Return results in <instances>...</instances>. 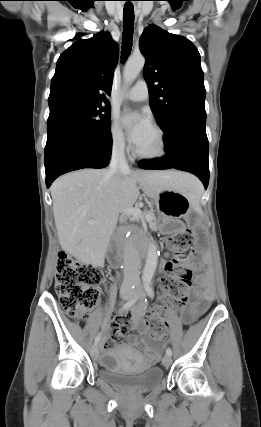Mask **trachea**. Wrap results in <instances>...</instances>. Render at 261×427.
Listing matches in <instances>:
<instances>
[{
  "mask_svg": "<svg viewBox=\"0 0 261 427\" xmlns=\"http://www.w3.org/2000/svg\"><path fill=\"white\" fill-rule=\"evenodd\" d=\"M134 30V8L132 4L124 5L123 14V38H122V52L121 59L124 63L132 50Z\"/></svg>",
  "mask_w": 261,
  "mask_h": 427,
  "instance_id": "trachea-1",
  "label": "trachea"
}]
</instances>
